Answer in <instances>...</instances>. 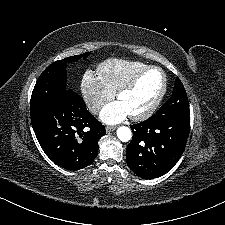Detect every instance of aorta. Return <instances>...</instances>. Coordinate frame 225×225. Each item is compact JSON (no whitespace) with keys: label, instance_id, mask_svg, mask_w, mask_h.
<instances>
[{"label":"aorta","instance_id":"1","mask_svg":"<svg viewBox=\"0 0 225 225\" xmlns=\"http://www.w3.org/2000/svg\"><path fill=\"white\" fill-rule=\"evenodd\" d=\"M117 137L122 142H128L132 138V132L128 127L120 126L117 129Z\"/></svg>","mask_w":225,"mask_h":225}]
</instances>
